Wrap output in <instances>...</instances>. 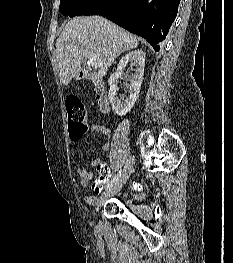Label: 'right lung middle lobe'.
<instances>
[{"instance_id": "right-lung-middle-lobe-1", "label": "right lung middle lobe", "mask_w": 233, "mask_h": 263, "mask_svg": "<svg viewBox=\"0 0 233 263\" xmlns=\"http://www.w3.org/2000/svg\"><path fill=\"white\" fill-rule=\"evenodd\" d=\"M102 1L108 0H61L59 11L70 17L88 15L90 9Z\"/></svg>"}]
</instances>
